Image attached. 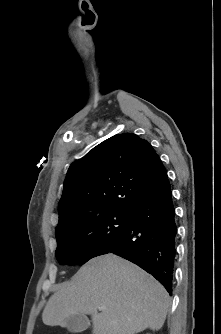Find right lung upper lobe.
I'll return each instance as SVG.
<instances>
[{
	"label": "right lung upper lobe",
	"mask_w": 221,
	"mask_h": 334,
	"mask_svg": "<svg viewBox=\"0 0 221 334\" xmlns=\"http://www.w3.org/2000/svg\"><path fill=\"white\" fill-rule=\"evenodd\" d=\"M167 179L148 141L132 133L108 138L71 164L59 202L56 237L102 214L131 213Z\"/></svg>",
	"instance_id": "1"
}]
</instances>
